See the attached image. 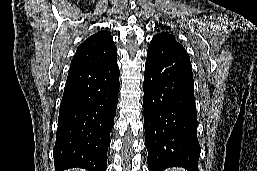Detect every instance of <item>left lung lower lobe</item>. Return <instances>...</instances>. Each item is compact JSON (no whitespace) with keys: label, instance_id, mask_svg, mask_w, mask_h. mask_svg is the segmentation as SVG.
Wrapping results in <instances>:
<instances>
[{"label":"left lung lower lobe","instance_id":"obj_1","mask_svg":"<svg viewBox=\"0 0 257 171\" xmlns=\"http://www.w3.org/2000/svg\"><path fill=\"white\" fill-rule=\"evenodd\" d=\"M143 105L149 171H198L193 73L185 50L148 49Z\"/></svg>","mask_w":257,"mask_h":171}]
</instances>
